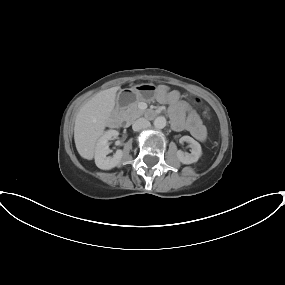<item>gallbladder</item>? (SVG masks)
I'll list each match as a JSON object with an SVG mask.
<instances>
[{"instance_id":"obj_1","label":"gallbladder","mask_w":285,"mask_h":285,"mask_svg":"<svg viewBox=\"0 0 285 285\" xmlns=\"http://www.w3.org/2000/svg\"><path fill=\"white\" fill-rule=\"evenodd\" d=\"M125 92H120V98L124 95Z\"/></svg>"}]
</instances>
